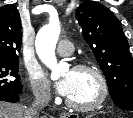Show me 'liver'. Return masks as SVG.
Listing matches in <instances>:
<instances>
[{
	"instance_id": "1",
	"label": "liver",
	"mask_w": 133,
	"mask_h": 118,
	"mask_svg": "<svg viewBox=\"0 0 133 118\" xmlns=\"http://www.w3.org/2000/svg\"><path fill=\"white\" fill-rule=\"evenodd\" d=\"M28 110L21 104L0 101V118H28Z\"/></svg>"
}]
</instances>
